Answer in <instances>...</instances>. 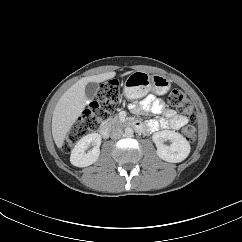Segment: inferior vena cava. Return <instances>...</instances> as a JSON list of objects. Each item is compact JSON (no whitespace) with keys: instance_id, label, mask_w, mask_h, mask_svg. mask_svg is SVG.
<instances>
[{"instance_id":"602c4592","label":"inferior vena cava","mask_w":242,"mask_h":242,"mask_svg":"<svg viewBox=\"0 0 242 242\" xmlns=\"http://www.w3.org/2000/svg\"><path fill=\"white\" fill-rule=\"evenodd\" d=\"M123 135V130L119 127L113 128L111 131L112 139H119Z\"/></svg>"}]
</instances>
